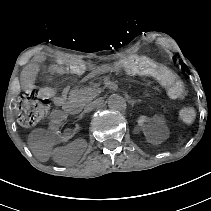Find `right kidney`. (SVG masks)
Returning a JSON list of instances; mask_svg holds the SVG:
<instances>
[{
	"label": "right kidney",
	"mask_w": 211,
	"mask_h": 211,
	"mask_svg": "<svg viewBox=\"0 0 211 211\" xmlns=\"http://www.w3.org/2000/svg\"><path fill=\"white\" fill-rule=\"evenodd\" d=\"M66 123V116L59 112H53L48 117L47 126L56 138L62 139L65 143H70L73 140V135L70 132H66L62 127L66 125Z\"/></svg>",
	"instance_id": "ca27d5eb"
}]
</instances>
